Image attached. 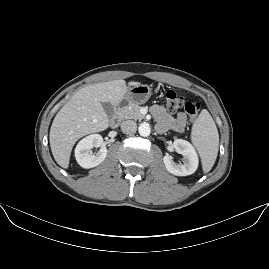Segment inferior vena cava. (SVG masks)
Returning a JSON list of instances; mask_svg holds the SVG:
<instances>
[{"instance_id":"inferior-vena-cava-1","label":"inferior vena cava","mask_w":269,"mask_h":269,"mask_svg":"<svg viewBox=\"0 0 269 269\" xmlns=\"http://www.w3.org/2000/svg\"><path fill=\"white\" fill-rule=\"evenodd\" d=\"M136 129H137V124L133 120H125L121 124V131L124 134H132V133H135L136 132Z\"/></svg>"}]
</instances>
